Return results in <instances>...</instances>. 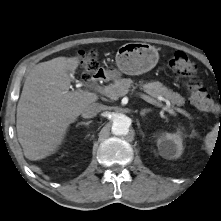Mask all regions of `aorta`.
<instances>
[{
	"label": "aorta",
	"instance_id": "762f6f07",
	"mask_svg": "<svg viewBox=\"0 0 221 221\" xmlns=\"http://www.w3.org/2000/svg\"><path fill=\"white\" fill-rule=\"evenodd\" d=\"M112 122V133L115 135H127L131 125L130 118L123 113L114 112L110 118Z\"/></svg>",
	"mask_w": 221,
	"mask_h": 221
}]
</instances>
